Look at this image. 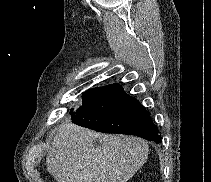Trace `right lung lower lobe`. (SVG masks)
Listing matches in <instances>:
<instances>
[{
  "label": "right lung lower lobe",
  "mask_w": 211,
  "mask_h": 182,
  "mask_svg": "<svg viewBox=\"0 0 211 182\" xmlns=\"http://www.w3.org/2000/svg\"><path fill=\"white\" fill-rule=\"evenodd\" d=\"M73 123L103 133L136 135L157 143L159 130L150 113L125 93L119 84L89 89L82 95V106L70 110Z\"/></svg>",
  "instance_id": "1"
}]
</instances>
